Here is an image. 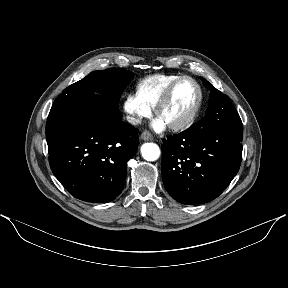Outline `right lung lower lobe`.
<instances>
[{"label": "right lung lower lobe", "instance_id": "obj_1", "mask_svg": "<svg viewBox=\"0 0 288 288\" xmlns=\"http://www.w3.org/2000/svg\"><path fill=\"white\" fill-rule=\"evenodd\" d=\"M102 96L72 99L49 113L46 138L52 172L66 190L87 202L114 200L123 190L138 129L121 120Z\"/></svg>", "mask_w": 288, "mask_h": 288}]
</instances>
